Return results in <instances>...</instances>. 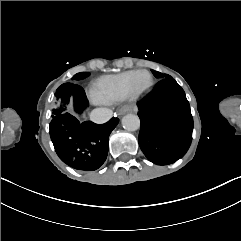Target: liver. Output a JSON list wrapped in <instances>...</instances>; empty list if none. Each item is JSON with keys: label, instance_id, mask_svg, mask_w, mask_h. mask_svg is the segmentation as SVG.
<instances>
[{"label": "liver", "instance_id": "1", "mask_svg": "<svg viewBox=\"0 0 241 241\" xmlns=\"http://www.w3.org/2000/svg\"><path fill=\"white\" fill-rule=\"evenodd\" d=\"M69 110H72V101L70 102L69 106H68Z\"/></svg>", "mask_w": 241, "mask_h": 241}]
</instances>
